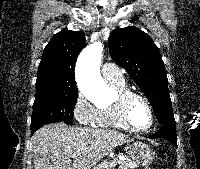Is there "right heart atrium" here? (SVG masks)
Here are the masks:
<instances>
[{
    "mask_svg": "<svg viewBox=\"0 0 200 169\" xmlns=\"http://www.w3.org/2000/svg\"><path fill=\"white\" fill-rule=\"evenodd\" d=\"M99 109L82 93L78 92L73 104V114L81 125H95Z\"/></svg>",
    "mask_w": 200,
    "mask_h": 169,
    "instance_id": "obj_1",
    "label": "right heart atrium"
}]
</instances>
